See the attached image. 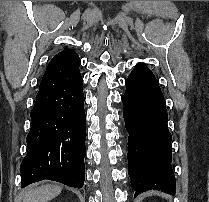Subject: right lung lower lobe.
<instances>
[{"label": "right lung lower lobe", "instance_id": "right-lung-lower-lobe-1", "mask_svg": "<svg viewBox=\"0 0 209 202\" xmlns=\"http://www.w3.org/2000/svg\"><path fill=\"white\" fill-rule=\"evenodd\" d=\"M68 57L54 56L30 113L28 151L20 166L22 187L44 179L81 188L85 180L86 116L80 71L69 74Z\"/></svg>", "mask_w": 209, "mask_h": 202}]
</instances>
